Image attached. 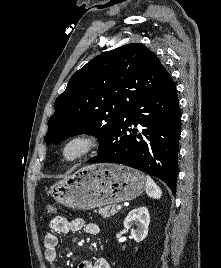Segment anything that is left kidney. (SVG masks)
I'll use <instances>...</instances> for the list:
<instances>
[{
    "instance_id": "left-kidney-1",
    "label": "left kidney",
    "mask_w": 221,
    "mask_h": 268,
    "mask_svg": "<svg viewBox=\"0 0 221 268\" xmlns=\"http://www.w3.org/2000/svg\"><path fill=\"white\" fill-rule=\"evenodd\" d=\"M149 223L150 215L148 209L146 207H139L128 213L124 220V227L131 231L133 239L139 243L146 238ZM132 225H136V228H132Z\"/></svg>"
}]
</instances>
